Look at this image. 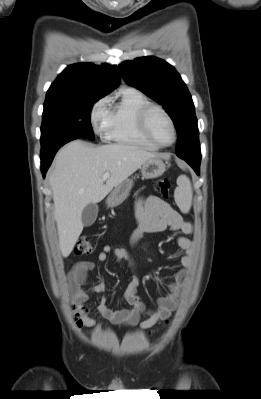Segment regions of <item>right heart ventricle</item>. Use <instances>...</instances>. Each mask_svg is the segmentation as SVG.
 I'll return each instance as SVG.
<instances>
[{"label":"right heart ventricle","mask_w":261,"mask_h":399,"mask_svg":"<svg viewBox=\"0 0 261 399\" xmlns=\"http://www.w3.org/2000/svg\"><path fill=\"white\" fill-rule=\"evenodd\" d=\"M149 103L148 98L139 90L122 89L118 100L113 102L108 110L106 138L121 144L156 149L157 147L141 135L137 125L139 110Z\"/></svg>","instance_id":"right-heart-ventricle-1"}]
</instances>
